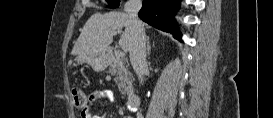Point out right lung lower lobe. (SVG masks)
Returning <instances> with one entry per match:
<instances>
[{"mask_svg":"<svg viewBox=\"0 0 273 118\" xmlns=\"http://www.w3.org/2000/svg\"><path fill=\"white\" fill-rule=\"evenodd\" d=\"M179 3L180 0H143L139 17L155 28L174 34L176 39L182 41L174 20Z\"/></svg>","mask_w":273,"mask_h":118,"instance_id":"98d812e1","label":"right lung lower lobe"}]
</instances>
